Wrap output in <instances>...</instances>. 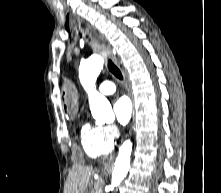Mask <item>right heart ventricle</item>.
Instances as JSON below:
<instances>
[{"instance_id": "obj_1", "label": "right heart ventricle", "mask_w": 221, "mask_h": 193, "mask_svg": "<svg viewBox=\"0 0 221 193\" xmlns=\"http://www.w3.org/2000/svg\"><path fill=\"white\" fill-rule=\"evenodd\" d=\"M81 146L87 156L97 158L113 150L114 144L106 139L103 126L84 121L80 131Z\"/></svg>"}]
</instances>
